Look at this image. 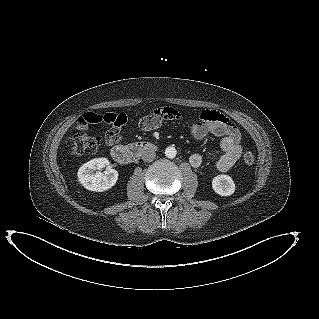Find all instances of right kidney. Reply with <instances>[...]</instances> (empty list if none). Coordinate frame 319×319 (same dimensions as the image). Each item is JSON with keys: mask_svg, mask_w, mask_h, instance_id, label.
<instances>
[{"mask_svg": "<svg viewBox=\"0 0 319 319\" xmlns=\"http://www.w3.org/2000/svg\"><path fill=\"white\" fill-rule=\"evenodd\" d=\"M106 171L95 172L102 168ZM118 172L112 169L106 158H95L83 164L78 170L80 183L90 191L103 192L112 188L118 180Z\"/></svg>", "mask_w": 319, "mask_h": 319, "instance_id": "obj_1", "label": "right kidney"}]
</instances>
